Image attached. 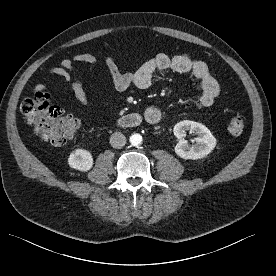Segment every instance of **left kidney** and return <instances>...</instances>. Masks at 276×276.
Here are the masks:
<instances>
[{
	"instance_id": "5707ae66",
	"label": "left kidney",
	"mask_w": 276,
	"mask_h": 276,
	"mask_svg": "<svg viewBox=\"0 0 276 276\" xmlns=\"http://www.w3.org/2000/svg\"><path fill=\"white\" fill-rule=\"evenodd\" d=\"M186 131L198 135L194 145H189L183 138ZM174 135L179 139L175 146V153L182 159L197 160L207 156L216 146V139L211 131L203 124L184 120L177 123L173 129Z\"/></svg>"
}]
</instances>
